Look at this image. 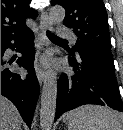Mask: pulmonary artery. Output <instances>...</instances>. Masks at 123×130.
Returning a JSON list of instances; mask_svg holds the SVG:
<instances>
[{"instance_id":"obj_1","label":"pulmonary artery","mask_w":123,"mask_h":130,"mask_svg":"<svg viewBox=\"0 0 123 130\" xmlns=\"http://www.w3.org/2000/svg\"><path fill=\"white\" fill-rule=\"evenodd\" d=\"M58 35L60 38H66L75 41V36L69 28L60 27L58 30Z\"/></svg>"}]
</instances>
